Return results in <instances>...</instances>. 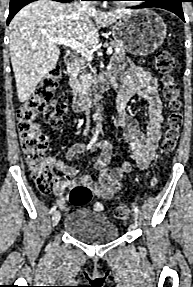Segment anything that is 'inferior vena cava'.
I'll return each instance as SVG.
<instances>
[{
  "mask_svg": "<svg viewBox=\"0 0 193 287\" xmlns=\"http://www.w3.org/2000/svg\"><path fill=\"white\" fill-rule=\"evenodd\" d=\"M82 5L84 7H90L91 4L88 1H83ZM84 102L87 103L86 109H85L86 110V115H87V122H86V128L84 130V134L86 135L89 132V129H90V120H89V113H90V111L88 109V99L85 98Z\"/></svg>",
  "mask_w": 193,
  "mask_h": 287,
  "instance_id": "inferior-vena-cava-1",
  "label": "inferior vena cava"
}]
</instances>
